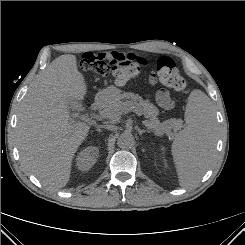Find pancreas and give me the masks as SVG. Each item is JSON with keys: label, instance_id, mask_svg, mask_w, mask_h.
<instances>
[{"label": "pancreas", "instance_id": "1", "mask_svg": "<svg viewBox=\"0 0 245 245\" xmlns=\"http://www.w3.org/2000/svg\"><path fill=\"white\" fill-rule=\"evenodd\" d=\"M131 107L137 108L148 119L146 125L158 136H162L164 133L170 135L172 130L177 131L182 128L181 120L169 119L160 122L157 118L158 109L149 100H143L141 96L132 92L119 94L102 111V116L109 122H118L121 115Z\"/></svg>", "mask_w": 245, "mask_h": 245}]
</instances>
